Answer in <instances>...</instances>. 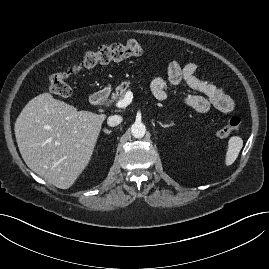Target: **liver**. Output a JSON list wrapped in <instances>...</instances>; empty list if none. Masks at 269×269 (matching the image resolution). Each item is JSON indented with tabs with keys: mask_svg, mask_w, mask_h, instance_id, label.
Masks as SVG:
<instances>
[{
	"mask_svg": "<svg viewBox=\"0 0 269 269\" xmlns=\"http://www.w3.org/2000/svg\"><path fill=\"white\" fill-rule=\"evenodd\" d=\"M105 118L42 93L26 104L15 122L21 156L47 182L68 189L89 164Z\"/></svg>",
	"mask_w": 269,
	"mask_h": 269,
	"instance_id": "obj_1",
	"label": "liver"
}]
</instances>
